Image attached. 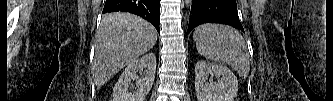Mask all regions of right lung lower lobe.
<instances>
[{
  "label": "right lung lower lobe",
  "mask_w": 333,
  "mask_h": 101,
  "mask_svg": "<svg viewBox=\"0 0 333 101\" xmlns=\"http://www.w3.org/2000/svg\"><path fill=\"white\" fill-rule=\"evenodd\" d=\"M117 11L141 16L152 23L160 33V0H106L103 13Z\"/></svg>",
  "instance_id": "obj_1"
}]
</instances>
